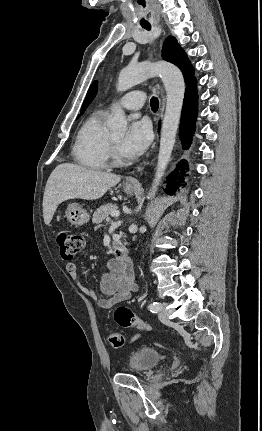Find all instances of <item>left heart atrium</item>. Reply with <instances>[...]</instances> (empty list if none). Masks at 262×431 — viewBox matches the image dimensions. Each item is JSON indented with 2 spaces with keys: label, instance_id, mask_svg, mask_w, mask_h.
<instances>
[{
  "label": "left heart atrium",
  "instance_id": "left-heart-atrium-1",
  "mask_svg": "<svg viewBox=\"0 0 262 431\" xmlns=\"http://www.w3.org/2000/svg\"><path fill=\"white\" fill-rule=\"evenodd\" d=\"M151 141V128L145 120L134 118L125 137L119 142L122 155L136 157L143 153Z\"/></svg>",
  "mask_w": 262,
  "mask_h": 431
}]
</instances>
